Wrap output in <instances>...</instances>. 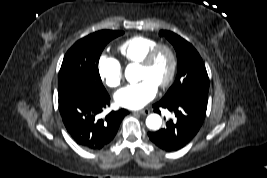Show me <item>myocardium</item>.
I'll list each match as a JSON object with an SVG mask.
<instances>
[{"instance_id":"myocardium-1","label":"myocardium","mask_w":267,"mask_h":178,"mask_svg":"<svg viewBox=\"0 0 267 178\" xmlns=\"http://www.w3.org/2000/svg\"><path fill=\"white\" fill-rule=\"evenodd\" d=\"M165 51L168 53L170 57V69L167 77L163 80L158 87L159 88H166L168 87L174 80L176 75L177 66H178V57L174 47L168 43H159L154 46L148 53L144 56V58L139 62L141 67L148 68L152 65L157 55Z\"/></svg>"}]
</instances>
